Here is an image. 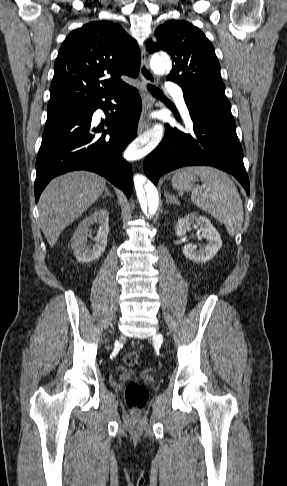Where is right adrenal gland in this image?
Here are the masks:
<instances>
[{
    "label": "right adrenal gland",
    "mask_w": 287,
    "mask_h": 486,
    "mask_svg": "<svg viewBox=\"0 0 287 486\" xmlns=\"http://www.w3.org/2000/svg\"><path fill=\"white\" fill-rule=\"evenodd\" d=\"M106 196L112 197V194L109 192L108 187H105V194L102 198H105Z\"/></svg>",
    "instance_id": "2a0ac1e0"
}]
</instances>
